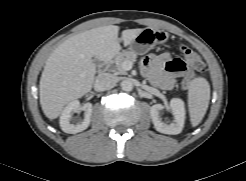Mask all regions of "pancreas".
Returning <instances> with one entry per match:
<instances>
[{
    "mask_svg": "<svg viewBox=\"0 0 246 181\" xmlns=\"http://www.w3.org/2000/svg\"><path fill=\"white\" fill-rule=\"evenodd\" d=\"M136 57L137 54L132 51H124L118 54L114 59L116 74H126V70L123 68V63L125 61L133 63L135 62Z\"/></svg>",
    "mask_w": 246,
    "mask_h": 181,
    "instance_id": "1",
    "label": "pancreas"
}]
</instances>
